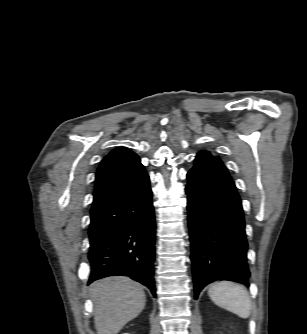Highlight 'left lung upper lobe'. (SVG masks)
Masks as SVG:
<instances>
[{
  "mask_svg": "<svg viewBox=\"0 0 307 334\" xmlns=\"http://www.w3.org/2000/svg\"><path fill=\"white\" fill-rule=\"evenodd\" d=\"M196 159H205V160L212 161L215 163L223 164L222 161L218 157L212 156L211 153L208 151H200L197 154Z\"/></svg>",
  "mask_w": 307,
  "mask_h": 334,
  "instance_id": "5c2ea615",
  "label": "left lung upper lobe"
}]
</instances>
